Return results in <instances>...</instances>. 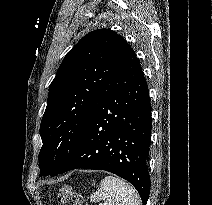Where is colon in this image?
Wrapping results in <instances>:
<instances>
[{"instance_id":"obj_1","label":"colon","mask_w":212,"mask_h":205,"mask_svg":"<svg viewBox=\"0 0 212 205\" xmlns=\"http://www.w3.org/2000/svg\"><path fill=\"white\" fill-rule=\"evenodd\" d=\"M57 198L62 205H82L80 197L68 185L59 189Z\"/></svg>"}]
</instances>
